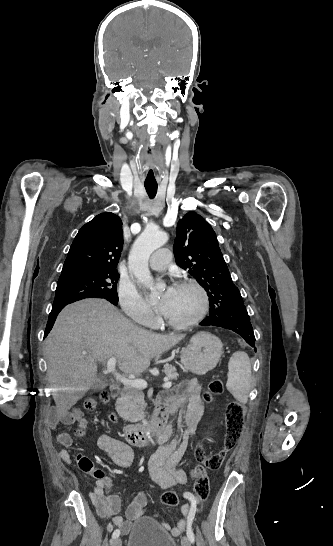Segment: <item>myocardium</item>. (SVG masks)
<instances>
[{"instance_id": "obj_1", "label": "myocardium", "mask_w": 333, "mask_h": 546, "mask_svg": "<svg viewBox=\"0 0 333 546\" xmlns=\"http://www.w3.org/2000/svg\"><path fill=\"white\" fill-rule=\"evenodd\" d=\"M177 287H192L199 293L201 299L197 314L189 321L176 322L167 316L164 317V321L169 327L177 330H186L198 325L205 318L210 308V299L206 289L195 279L185 278L177 283Z\"/></svg>"}]
</instances>
